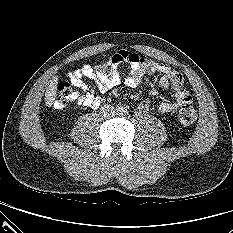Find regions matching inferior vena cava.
Here are the masks:
<instances>
[{
  "instance_id": "inferior-vena-cava-1",
  "label": "inferior vena cava",
  "mask_w": 233,
  "mask_h": 233,
  "mask_svg": "<svg viewBox=\"0 0 233 233\" xmlns=\"http://www.w3.org/2000/svg\"><path fill=\"white\" fill-rule=\"evenodd\" d=\"M107 109H110V113L105 115V117H110L113 115V108L112 107H108ZM102 113H105V108L102 109Z\"/></svg>"
}]
</instances>
